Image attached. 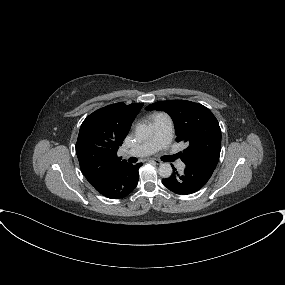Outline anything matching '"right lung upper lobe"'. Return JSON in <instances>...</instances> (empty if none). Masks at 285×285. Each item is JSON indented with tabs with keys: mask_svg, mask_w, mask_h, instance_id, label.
Returning a JSON list of instances; mask_svg holds the SVG:
<instances>
[{
	"mask_svg": "<svg viewBox=\"0 0 285 285\" xmlns=\"http://www.w3.org/2000/svg\"><path fill=\"white\" fill-rule=\"evenodd\" d=\"M143 103H116L90 114L82 123L76 143L80 168L90 184L128 165L117 156L119 146Z\"/></svg>",
	"mask_w": 285,
	"mask_h": 285,
	"instance_id": "obj_1",
	"label": "right lung upper lobe"
}]
</instances>
